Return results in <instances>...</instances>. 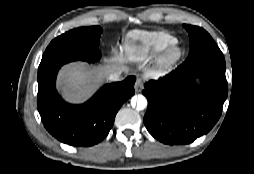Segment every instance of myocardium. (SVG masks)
<instances>
[{
  "label": "myocardium",
  "instance_id": "f54148a6",
  "mask_svg": "<svg viewBox=\"0 0 254 174\" xmlns=\"http://www.w3.org/2000/svg\"><path fill=\"white\" fill-rule=\"evenodd\" d=\"M183 57L181 45L175 41L167 45L159 54L156 66L159 71L165 72L172 69Z\"/></svg>",
  "mask_w": 254,
  "mask_h": 174
}]
</instances>
